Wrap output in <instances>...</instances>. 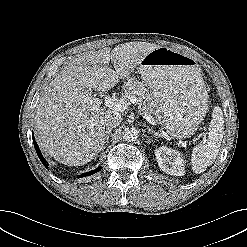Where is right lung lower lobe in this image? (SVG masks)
Returning a JSON list of instances; mask_svg holds the SVG:
<instances>
[{
	"label": "right lung lower lobe",
	"mask_w": 247,
	"mask_h": 247,
	"mask_svg": "<svg viewBox=\"0 0 247 247\" xmlns=\"http://www.w3.org/2000/svg\"><path fill=\"white\" fill-rule=\"evenodd\" d=\"M33 143H34V147H35V150H36V153H37L39 159L41 160V162L43 163V165H44L46 168H48L47 162H46V160L44 159V157L42 156V154H41V152H40V149H39V147H38V145H37V143H36V141H35L34 136H33ZM98 171H100V168H97V169L92 170V171H90V172L84 173V174L80 175V177L89 176V175H92V174H94V173H96V172H98Z\"/></svg>",
	"instance_id": "98d812e1"
}]
</instances>
